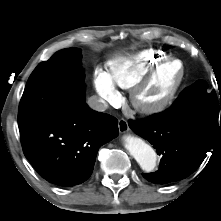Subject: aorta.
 <instances>
[{"label": "aorta", "mask_w": 221, "mask_h": 221, "mask_svg": "<svg viewBox=\"0 0 221 221\" xmlns=\"http://www.w3.org/2000/svg\"><path fill=\"white\" fill-rule=\"evenodd\" d=\"M124 146L135 158L140 167L150 172L156 166V153L151 146L145 143L142 139L132 135H125Z\"/></svg>", "instance_id": "762f6f07"}]
</instances>
